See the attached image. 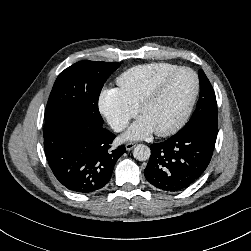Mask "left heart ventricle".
<instances>
[{"label":"left heart ventricle","mask_w":251,"mask_h":251,"mask_svg":"<svg viewBox=\"0 0 251 251\" xmlns=\"http://www.w3.org/2000/svg\"><path fill=\"white\" fill-rule=\"evenodd\" d=\"M195 80L192 74L182 72L165 87L160 96L141 113L154 131L173 126L185 111L194 92Z\"/></svg>","instance_id":"1"}]
</instances>
